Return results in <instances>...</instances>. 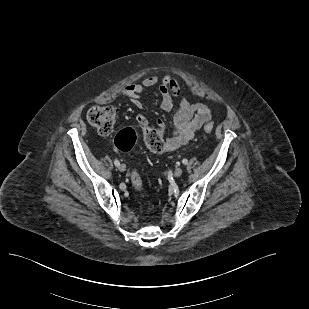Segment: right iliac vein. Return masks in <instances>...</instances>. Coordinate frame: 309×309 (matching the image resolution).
<instances>
[{"mask_svg": "<svg viewBox=\"0 0 309 309\" xmlns=\"http://www.w3.org/2000/svg\"><path fill=\"white\" fill-rule=\"evenodd\" d=\"M118 169H119L121 172H124V171L126 170V165L120 164V165L118 166Z\"/></svg>", "mask_w": 309, "mask_h": 309, "instance_id": "1", "label": "right iliac vein"}]
</instances>
